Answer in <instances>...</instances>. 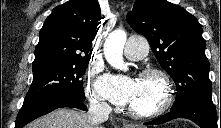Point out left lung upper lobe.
<instances>
[{
  "label": "left lung upper lobe",
  "instance_id": "left-lung-upper-lobe-1",
  "mask_svg": "<svg viewBox=\"0 0 221 128\" xmlns=\"http://www.w3.org/2000/svg\"><path fill=\"white\" fill-rule=\"evenodd\" d=\"M127 21L147 38L176 84L177 97L171 110L192 101L212 102L202 27L193 15L167 0H136Z\"/></svg>",
  "mask_w": 221,
  "mask_h": 128
}]
</instances>
